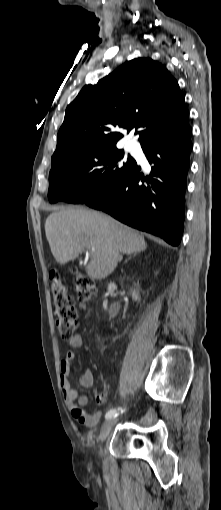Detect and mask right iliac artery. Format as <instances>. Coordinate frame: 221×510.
<instances>
[{
	"label": "right iliac artery",
	"instance_id": "right-iliac-artery-1",
	"mask_svg": "<svg viewBox=\"0 0 221 510\" xmlns=\"http://www.w3.org/2000/svg\"><path fill=\"white\" fill-rule=\"evenodd\" d=\"M120 411H121V412H123V410H122L121 408H118V409H111V410H109V411L106 413L105 418H106V419L114 418V417H116V416L119 414V412H120Z\"/></svg>",
	"mask_w": 221,
	"mask_h": 510
}]
</instances>
